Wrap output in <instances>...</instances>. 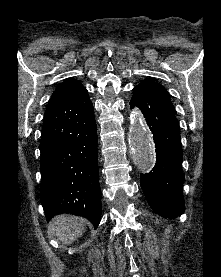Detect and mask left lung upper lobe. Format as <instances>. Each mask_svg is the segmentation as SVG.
Returning a JSON list of instances; mask_svg holds the SVG:
<instances>
[{
    "mask_svg": "<svg viewBox=\"0 0 221 277\" xmlns=\"http://www.w3.org/2000/svg\"><path fill=\"white\" fill-rule=\"evenodd\" d=\"M138 86L143 87L151 93L163 106H165L172 114L175 115V108L169 98L168 91L157 82L146 79L143 80Z\"/></svg>",
    "mask_w": 221,
    "mask_h": 277,
    "instance_id": "1",
    "label": "left lung upper lobe"
}]
</instances>
